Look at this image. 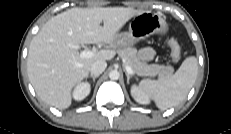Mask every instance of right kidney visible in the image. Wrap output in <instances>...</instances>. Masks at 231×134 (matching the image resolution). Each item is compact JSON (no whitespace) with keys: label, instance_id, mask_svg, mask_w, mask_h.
I'll return each instance as SVG.
<instances>
[{"label":"right kidney","instance_id":"obj_1","mask_svg":"<svg viewBox=\"0 0 231 134\" xmlns=\"http://www.w3.org/2000/svg\"><path fill=\"white\" fill-rule=\"evenodd\" d=\"M90 90V85L88 83H79L73 91V97L75 100L81 101L89 95Z\"/></svg>","mask_w":231,"mask_h":134}]
</instances>
